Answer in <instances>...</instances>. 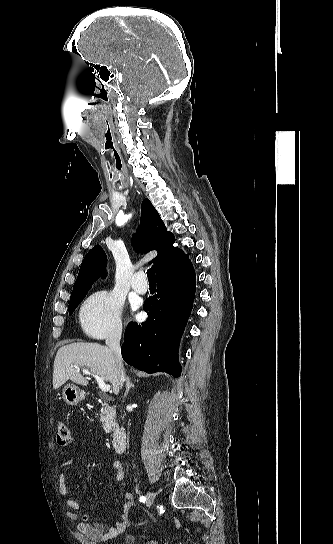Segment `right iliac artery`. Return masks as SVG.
Here are the masks:
<instances>
[{"mask_svg": "<svg viewBox=\"0 0 333 544\" xmlns=\"http://www.w3.org/2000/svg\"><path fill=\"white\" fill-rule=\"evenodd\" d=\"M140 502H145L146 501V497L145 496H141L140 499H139Z\"/></svg>", "mask_w": 333, "mask_h": 544, "instance_id": "1", "label": "right iliac artery"}]
</instances>
